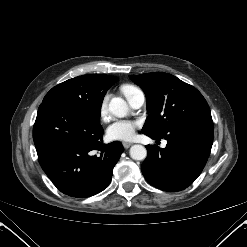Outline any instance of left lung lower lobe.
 Wrapping results in <instances>:
<instances>
[{
	"mask_svg": "<svg viewBox=\"0 0 247 247\" xmlns=\"http://www.w3.org/2000/svg\"><path fill=\"white\" fill-rule=\"evenodd\" d=\"M146 135L154 140L164 138L167 145L164 149L146 146L148 155L141 167L145 179L161 190L176 192L191 185L202 172L213 143V121H193L162 138Z\"/></svg>",
	"mask_w": 247,
	"mask_h": 247,
	"instance_id": "1",
	"label": "left lung lower lobe"
}]
</instances>
